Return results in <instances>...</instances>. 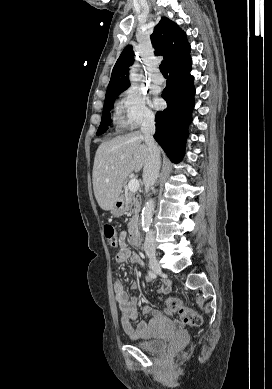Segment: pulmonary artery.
Listing matches in <instances>:
<instances>
[{
	"label": "pulmonary artery",
	"instance_id": "obj_1",
	"mask_svg": "<svg viewBox=\"0 0 272 389\" xmlns=\"http://www.w3.org/2000/svg\"><path fill=\"white\" fill-rule=\"evenodd\" d=\"M151 79H152V82L155 84H162L164 81L162 75L158 72L153 73L151 76Z\"/></svg>",
	"mask_w": 272,
	"mask_h": 389
}]
</instances>
